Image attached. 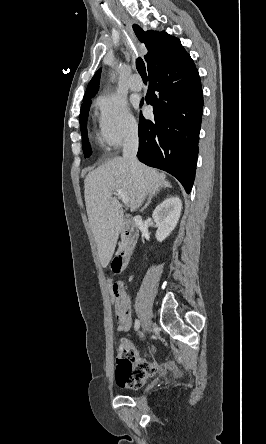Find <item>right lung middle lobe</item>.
<instances>
[{"instance_id": "1", "label": "right lung middle lobe", "mask_w": 266, "mask_h": 444, "mask_svg": "<svg viewBox=\"0 0 266 444\" xmlns=\"http://www.w3.org/2000/svg\"><path fill=\"white\" fill-rule=\"evenodd\" d=\"M91 105V100L83 102L81 105V111H80V130L82 133V146H83V153L85 157H89L91 155V148L87 137V128H86V122H87V116L89 112V108Z\"/></svg>"}]
</instances>
